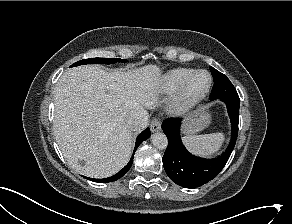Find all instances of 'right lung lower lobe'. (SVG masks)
Wrapping results in <instances>:
<instances>
[{"label":"right lung lower lobe","mask_w":292,"mask_h":224,"mask_svg":"<svg viewBox=\"0 0 292 224\" xmlns=\"http://www.w3.org/2000/svg\"><path fill=\"white\" fill-rule=\"evenodd\" d=\"M149 137H150V129L149 128L145 129L142 133H140L138 135V137L136 139L134 152H133V155H132L130 161L117 174H115V175H113L111 177H108V178H104V179H94V178H87V177H85V178H87V179H89L91 181L99 182V183H108V182H113V181H116V180L120 179L122 176H124L128 172V170L132 166L133 156H134V153H135L137 147L140 145L141 142H143L144 140L148 139Z\"/></svg>","instance_id":"1"}]
</instances>
